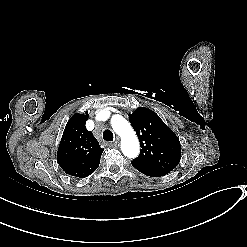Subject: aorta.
Instances as JSON below:
<instances>
[{
  "mask_svg": "<svg viewBox=\"0 0 247 247\" xmlns=\"http://www.w3.org/2000/svg\"><path fill=\"white\" fill-rule=\"evenodd\" d=\"M111 125L117 135L121 137L122 153L128 158H135L140 151L139 140L130 123L120 115H114Z\"/></svg>",
  "mask_w": 247,
  "mask_h": 247,
  "instance_id": "aorta-1",
  "label": "aorta"
}]
</instances>
